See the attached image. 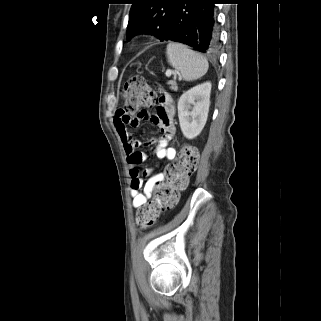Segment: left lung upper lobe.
Segmentation results:
<instances>
[{
  "label": "left lung upper lobe",
  "mask_w": 321,
  "mask_h": 321,
  "mask_svg": "<svg viewBox=\"0 0 321 321\" xmlns=\"http://www.w3.org/2000/svg\"><path fill=\"white\" fill-rule=\"evenodd\" d=\"M178 0H131L127 40L140 33L155 35L163 40L170 16Z\"/></svg>",
  "instance_id": "left-lung-upper-lobe-1"
}]
</instances>
